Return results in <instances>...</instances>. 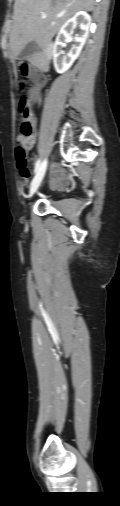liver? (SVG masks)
<instances>
[{
  "mask_svg": "<svg viewBox=\"0 0 120 506\" xmlns=\"http://www.w3.org/2000/svg\"><path fill=\"white\" fill-rule=\"evenodd\" d=\"M94 5L95 0H15L9 43L12 55L19 56L31 41L40 48L46 47L71 16L79 11H92ZM28 59L45 69L46 59L41 52Z\"/></svg>",
  "mask_w": 120,
  "mask_h": 506,
  "instance_id": "obj_1",
  "label": "liver"
}]
</instances>
